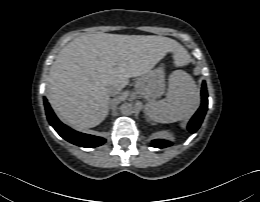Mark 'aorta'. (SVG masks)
<instances>
[{"label":"aorta","instance_id":"762f6f07","mask_svg":"<svg viewBox=\"0 0 260 202\" xmlns=\"http://www.w3.org/2000/svg\"><path fill=\"white\" fill-rule=\"evenodd\" d=\"M121 113L129 115L133 113V105L131 103L125 102L120 106Z\"/></svg>","mask_w":260,"mask_h":202}]
</instances>
